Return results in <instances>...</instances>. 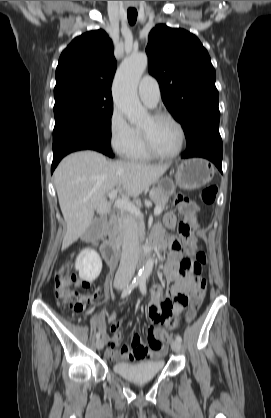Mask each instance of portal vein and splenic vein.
<instances>
[{
  "label": "portal vein and splenic vein",
  "mask_w": 271,
  "mask_h": 418,
  "mask_svg": "<svg viewBox=\"0 0 271 418\" xmlns=\"http://www.w3.org/2000/svg\"><path fill=\"white\" fill-rule=\"evenodd\" d=\"M117 192H118L117 189H113L112 191H110L108 193L109 199L115 200L117 196ZM115 206L119 209L126 210L135 216L140 217L142 215L139 207H137L135 204L128 202L126 200H123V199L115 200ZM161 212H162V208L160 206H156L154 209V215L158 216L161 214Z\"/></svg>",
  "instance_id": "18ae733b"
}]
</instances>
